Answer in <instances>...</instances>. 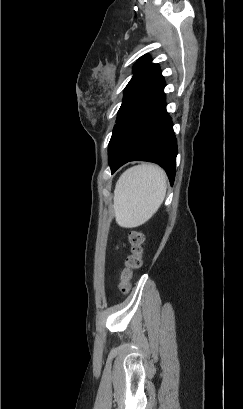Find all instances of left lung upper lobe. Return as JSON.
<instances>
[{
    "instance_id": "1",
    "label": "left lung upper lobe",
    "mask_w": 243,
    "mask_h": 409,
    "mask_svg": "<svg viewBox=\"0 0 243 409\" xmlns=\"http://www.w3.org/2000/svg\"><path fill=\"white\" fill-rule=\"evenodd\" d=\"M134 75L124 91V98L122 105L118 111V120L121 115L127 109V107L133 102L137 95L142 91L144 86L152 79V77L160 70L157 64L151 63L149 56H143L134 66ZM116 126V125H115ZM118 145L115 138V127L112 133V137L109 142L108 155L109 164H111L117 156Z\"/></svg>"
}]
</instances>
